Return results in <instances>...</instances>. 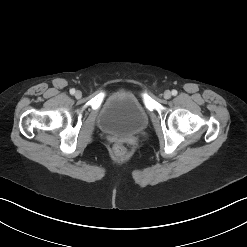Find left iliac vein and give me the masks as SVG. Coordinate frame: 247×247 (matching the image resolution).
<instances>
[{"mask_svg":"<svg viewBox=\"0 0 247 247\" xmlns=\"http://www.w3.org/2000/svg\"><path fill=\"white\" fill-rule=\"evenodd\" d=\"M163 96H164L165 99H169V98H171V92L169 90H166L164 92Z\"/></svg>","mask_w":247,"mask_h":247,"instance_id":"1","label":"left iliac vein"}]
</instances>
